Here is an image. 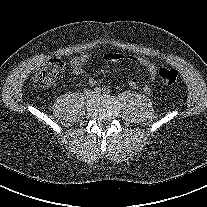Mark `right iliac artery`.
<instances>
[{
	"label": "right iliac artery",
	"instance_id": "82829eb1",
	"mask_svg": "<svg viewBox=\"0 0 207 207\" xmlns=\"http://www.w3.org/2000/svg\"><path fill=\"white\" fill-rule=\"evenodd\" d=\"M102 91L101 87H95L94 92L95 93H100Z\"/></svg>",
	"mask_w": 207,
	"mask_h": 207
}]
</instances>
